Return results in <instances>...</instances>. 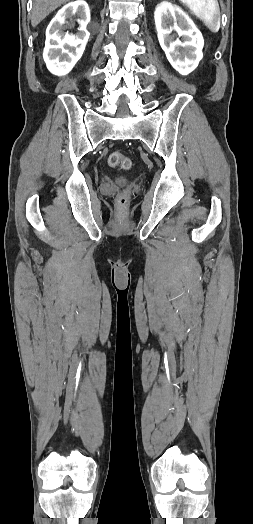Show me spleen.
Listing matches in <instances>:
<instances>
[{
  "instance_id": "obj_1",
  "label": "spleen",
  "mask_w": 253,
  "mask_h": 524,
  "mask_svg": "<svg viewBox=\"0 0 253 524\" xmlns=\"http://www.w3.org/2000/svg\"><path fill=\"white\" fill-rule=\"evenodd\" d=\"M187 5L206 27L216 33L220 29V9L217 0H179Z\"/></svg>"
}]
</instances>
